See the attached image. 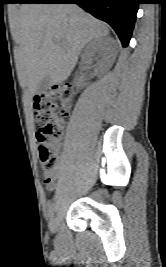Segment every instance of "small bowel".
<instances>
[{
	"label": "small bowel",
	"instance_id": "small-bowel-1",
	"mask_svg": "<svg viewBox=\"0 0 166 267\" xmlns=\"http://www.w3.org/2000/svg\"><path fill=\"white\" fill-rule=\"evenodd\" d=\"M55 181H56V178L55 177H53L51 180H49V181H45V184H46V186H47V188L49 189V190H52L53 188H54V186H55Z\"/></svg>",
	"mask_w": 166,
	"mask_h": 267
}]
</instances>
